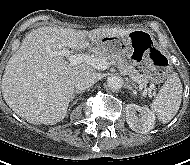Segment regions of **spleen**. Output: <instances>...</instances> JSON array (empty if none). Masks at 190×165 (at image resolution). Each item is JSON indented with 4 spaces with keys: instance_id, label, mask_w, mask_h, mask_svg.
I'll list each match as a JSON object with an SVG mask.
<instances>
[{
    "instance_id": "3e777b00",
    "label": "spleen",
    "mask_w": 190,
    "mask_h": 165,
    "mask_svg": "<svg viewBox=\"0 0 190 165\" xmlns=\"http://www.w3.org/2000/svg\"><path fill=\"white\" fill-rule=\"evenodd\" d=\"M182 98V84L177 73L169 76L150 107L162 123H168L177 114Z\"/></svg>"
}]
</instances>
